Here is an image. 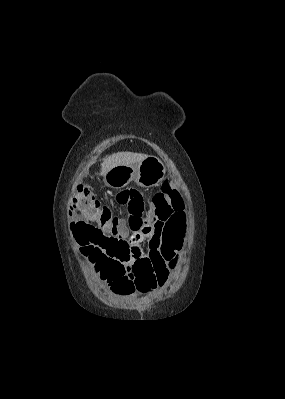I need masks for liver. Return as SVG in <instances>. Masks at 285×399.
I'll return each instance as SVG.
<instances>
[{
  "label": "liver",
  "mask_w": 285,
  "mask_h": 399,
  "mask_svg": "<svg viewBox=\"0 0 285 399\" xmlns=\"http://www.w3.org/2000/svg\"><path fill=\"white\" fill-rule=\"evenodd\" d=\"M147 155L133 152L113 153L103 159L101 174L104 176L110 169L118 165H138Z\"/></svg>",
  "instance_id": "1"
}]
</instances>
